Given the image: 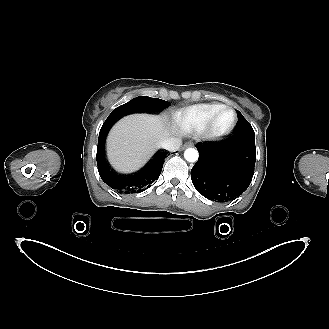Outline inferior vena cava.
<instances>
[{
    "label": "inferior vena cava",
    "instance_id": "inferior-vena-cava-1",
    "mask_svg": "<svg viewBox=\"0 0 329 329\" xmlns=\"http://www.w3.org/2000/svg\"><path fill=\"white\" fill-rule=\"evenodd\" d=\"M181 144H182V141L180 138L171 137V138H167L164 141H162L160 144V147H162L168 151L174 152L180 148Z\"/></svg>",
    "mask_w": 329,
    "mask_h": 329
}]
</instances>
